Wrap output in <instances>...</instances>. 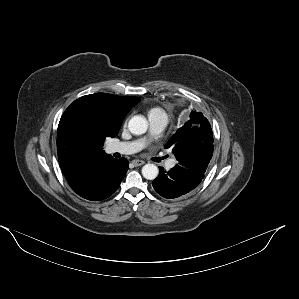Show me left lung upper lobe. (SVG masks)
<instances>
[{
    "mask_svg": "<svg viewBox=\"0 0 299 299\" xmlns=\"http://www.w3.org/2000/svg\"><path fill=\"white\" fill-rule=\"evenodd\" d=\"M186 168L205 173L213 154V133L201 112L192 111L190 119L165 145Z\"/></svg>",
    "mask_w": 299,
    "mask_h": 299,
    "instance_id": "left-lung-upper-lobe-1",
    "label": "left lung upper lobe"
}]
</instances>
